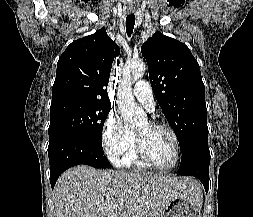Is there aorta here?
<instances>
[{"instance_id":"obj_1","label":"aorta","mask_w":253,"mask_h":217,"mask_svg":"<svg viewBox=\"0 0 253 217\" xmlns=\"http://www.w3.org/2000/svg\"><path fill=\"white\" fill-rule=\"evenodd\" d=\"M146 71L142 60L127 62L117 90V104L124 124L127 127L140 126L145 120L144 110L140 108L132 95V84L141 78Z\"/></svg>"}]
</instances>
